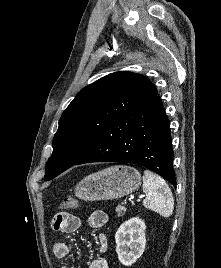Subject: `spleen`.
<instances>
[{
  "label": "spleen",
  "mask_w": 221,
  "mask_h": 268,
  "mask_svg": "<svg viewBox=\"0 0 221 268\" xmlns=\"http://www.w3.org/2000/svg\"><path fill=\"white\" fill-rule=\"evenodd\" d=\"M143 192L146 194L143 205L147 209L155 211L163 217H170L172 215L174 199L169 186L162 177L149 170H145L143 175Z\"/></svg>",
  "instance_id": "spleen-1"
}]
</instances>
